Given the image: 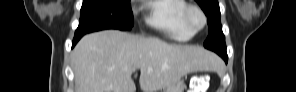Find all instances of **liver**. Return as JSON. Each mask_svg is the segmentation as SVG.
I'll use <instances>...</instances> for the list:
<instances>
[{
	"mask_svg": "<svg viewBox=\"0 0 296 92\" xmlns=\"http://www.w3.org/2000/svg\"><path fill=\"white\" fill-rule=\"evenodd\" d=\"M217 58L202 47L168 44L118 30L85 35L72 52L76 92H158L196 71L214 70Z\"/></svg>",
	"mask_w": 296,
	"mask_h": 92,
	"instance_id": "6515ba94",
	"label": "liver"
}]
</instances>
